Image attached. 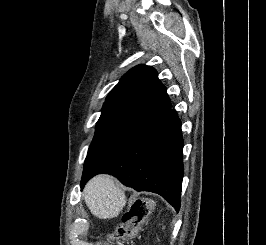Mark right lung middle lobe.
Segmentation results:
<instances>
[{"label": "right lung middle lobe", "instance_id": "obj_1", "mask_svg": "<svg viewBox=\"0 0 266 245\" xmlns=\"http://www.w3.org/2000/svg\"><path fill=\"white\" fill-rule=\"evenodd\" d=\"M142 122V120L137 119L101 116L96 125L94 139L88 150L84 163V171L93 165L101 156L120 143Z\"/></svg>", "mask_w": 266, "mask_h": 245}]
</instances>
